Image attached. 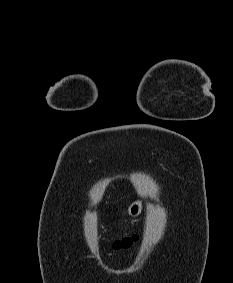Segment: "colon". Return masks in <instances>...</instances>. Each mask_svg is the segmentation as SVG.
Returning <instances> with one entry per match:
<instances>
[{
	"label": "colon",
	"mask_w": 233,
	"mask_h": 283,
	"mask_svg": "<svg viewBox=\"0 0 233 283\" xmlns=\"http://www.w3.org/2000/svg\"><path fill=\"white\" fill-rule=\"evenodd\" d=\"M137 240L138 237L136 235L125 237L123 239L115 241L113 247L115 249H126L129 248L132 244H134Z\"/></svg>",
	"instance_id": "obj_1"
}]
</instances>
